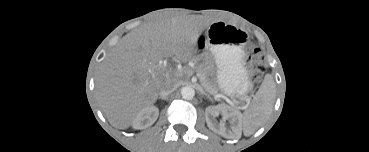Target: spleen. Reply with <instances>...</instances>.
Segmentation results:
<instances>
[{
    "instance_id": "1",
    "label": "spleen",
    "mask_w": 369,
    "mask_h": 152,
    "mask_svg": "<svg viewBox=\"0 0 369 152\" xmlns=\"http://www.w3.org/2000/svg\"><path fill=\"white\" fill-rule=\"evenodd\" d=\"M274 83L270 76H266L260 86L252 105L241 116V125L245 134L254 133L271 114L274 103Z\"/></svg>"
}]
</instances>
